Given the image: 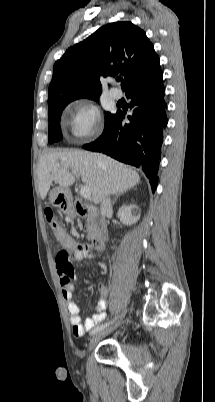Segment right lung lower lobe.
<instances>
[{"mask_svg":"<svg viewBox=\"0 0 215 402\" xmlns=\"http://www.w3.org/2000/svg\"><path fill=\"white\" fill-rule=\"evenodd\" d=\"M131 99L133 115L125 122V113L117 111L105 124L103 134L84 145L86 150L103 152L121 162L143 170L154 192L158 182L163 130L168 119L162 78L136 87L126 94Z\"/></svg>","mask_w":215,"mask_h":402,"instance_id":"obj_1","label":"right lung lower lobe"}]
</instances>
